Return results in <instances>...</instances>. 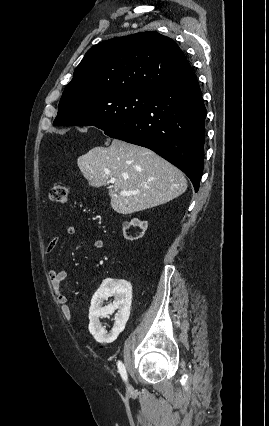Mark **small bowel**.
Instances as JSON below:
<instances>
[{"label": "small bowel", "mask_w": 269, "mask_h": 426, "mask_svg": "<svg viewBox=\"0 0 269 426\" xmlns=\"http://www.w3.org/2000/svg\"><path fill=\"white\" fill-rule=\"evenodd\" d=\"M67 234L73 236L76 234V228L74 226L67 227ZM59 243V238H52L46 246L45 252L51 253ZM91 246L95 250H100L103 248V241L101 239H93ZM48 277L51 283V286L56 295V301L60 306L61 312L65 317L71 316V310L68 303V297L62 292L61 284L68 277V270L66 269H57L53 263L50 264V269L48 272Z\"/></svg>", "instance_id": "small-bowel-1"}]
</instances>
